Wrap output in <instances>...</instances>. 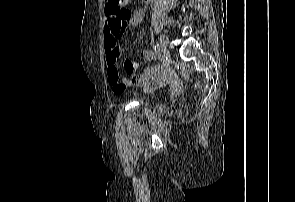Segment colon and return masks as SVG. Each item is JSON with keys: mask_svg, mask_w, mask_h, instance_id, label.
<instances>
[{"mask_svg": "<svg viewBox=\"0 0 295 202\" xmlns=\"http://www.w3.org/2000/svg\"><path fill=\"white\" fill-rule=\"evenodd\" d=\"M128 2L129 0H106L105 8L107 15L111 18L120 19L123 27H126V22L129 18V10L126 9Z\"/></svg>", "mask_w": 295, "mask_h": 202, "instance_id": "5ec220e1", "label": "colon"}]
</instances>
